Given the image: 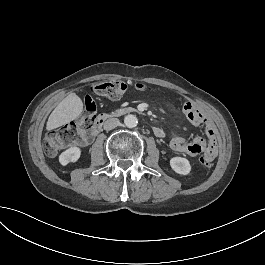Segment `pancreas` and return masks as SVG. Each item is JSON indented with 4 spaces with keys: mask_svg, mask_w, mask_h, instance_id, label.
<instances>
[{
    "mask_svg": "<svg viewBox=\"0 0 265 265\" xmlns=\"http://www.w3.org/2000/svg\"><path fill=\"white\" fill-rule=\"evenodd\" d=\"M122 109L125 112H133V111H135V109H133V108H116V109L112 110L111 113L108 114L107 116H109V117H111V116H119Z\"/></svg>",
    "mask_w": 265,
    "mask_h": 265,
    "instance_id": "1",
    "label": "pancreas"
}]
</instances>
